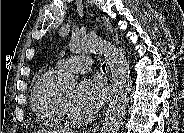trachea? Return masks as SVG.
I'll list each match as a JSON object with an SVG mask.
<instances>
[{"label":"trachea","mask_w":184,"mask_h":133,"mask_svg":"<svg viewBox=\"0 0 184 133\" xmlns=\"http://www.w3.org/2000/svg\"><path fill=\"white\" fill-rule=\"evenodd\" d=\"M105 68H106V65L103 64V65H102V70L105 71Z\"/></svg>","instance_id":"1"}]
</instances>
